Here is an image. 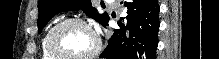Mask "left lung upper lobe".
<instances>
[{"label":"left lung upper lobe","mask_w":219,"mask_h":59,"mask_svg":"<svg viewBox=\"0 0 219 59\" xmlns=\"http://www.w3.org/2000/svg\"><path fill=\"white\" fill-rule=\"evenodd\" d=\"M38 8V33L42 31L53 16L62 11L83 10L87 16L92 17L101 25H104L109 19L106 12L97 13L90 0H39Z\"/></svg>","instance_id":"left-lung-upper-lobe-1"}]
</instances>
